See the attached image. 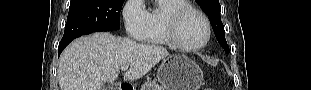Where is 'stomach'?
Wrapping results in <instances>:
<instances>
[{
    "instance_id": "stomach-1",
    "label": "stomach",
    "mask_w": 311,
    "mask_h": 90,
    "mask_svg": "<svg viewBox=\"0 0 311 90\" xmlns=\"http://www.w3.org/2000/svg\"><path fill=\"white\" fill-rule=\"evenodd\" d=\"M164 90H198L203 82L200 67L185 55L165 58L157 72Z\"/></svg>"
}]
</instances>
